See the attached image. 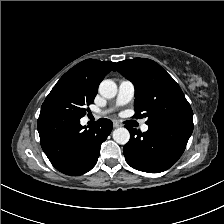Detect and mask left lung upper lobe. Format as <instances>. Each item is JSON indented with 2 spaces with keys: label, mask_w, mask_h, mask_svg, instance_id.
<instances>
[{
  "label": "left lung upper lobe",
  "mask_w": 224,
  "mask_h": 224,
  "mask_svg": "<svg viewBox=\"0 0 224 224\" xmlns=\"http://www.w3.org/2000/svg\"><path fill=\"white\" fill-rule=\"evenodd\" d=\"M135 86V118L147 117L146 124L193 125V112L181 88L156 62L135 58L116 64L114 69Z\"/></svg>",
  "instance_id": "5c2ea615"
}]
</instances>
